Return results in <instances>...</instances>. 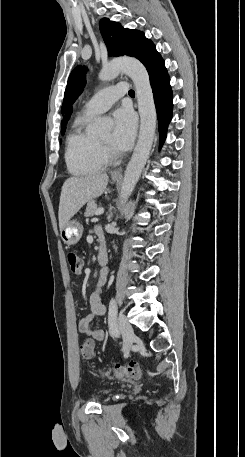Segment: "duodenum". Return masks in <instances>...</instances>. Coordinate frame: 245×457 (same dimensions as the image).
<instances>
[{"mask_svg": "<svg viewBox=\"0 0 245 457\" xmlns=\"http://www.w3.org/2000/svg\"><path fill=\"white\" fill-rule=\"evenodd\" d=\"M97 261L100 266H105L108 262V253L104 246H101L98 251Z\"/></svg>", "mask_w": 245, "mask_h": 457, "instance_id": "410a0bca", "label": "duodenum"}]
</instances>
